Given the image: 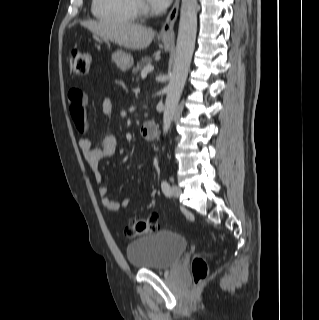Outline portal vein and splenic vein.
<instances>
[{"label": "portal vein and splenic vein", "instance_id": "1", "mask_svg": "<svg viewBox=\"0 0 319 320\" xmlns=\"http://www.w3.org/2000/svg\"><path fill=\"white\" fill-rule=\"evenodd\" d=\"M154 70V67L152 66H146L145 68H143L142 72H141V77L142 79H145L147 77V75L152 72Z\"/></svg>", "mask_w": 319, "mask_h": 320}]
</instances>
